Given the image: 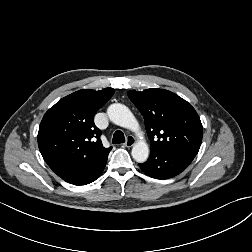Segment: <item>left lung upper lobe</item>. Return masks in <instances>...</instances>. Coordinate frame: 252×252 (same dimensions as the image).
Segmentation results:
<instances>
[{
    "mask_svg": "<svg viewBox=\"0 0 252 252\" xmlns=\"http://www.w3.org/2000/svg\"><path fill=\"white\" fill-rule=\"evenodd\" d=\"M145 120L150 154L180 152L196 156L203 127L195 109L184 99L164 89L128 91Z\"/></svg>",
    "mask_w": 252,
    "mask_h": 252,
    "instance_id": "5c2ea615",
    "label": "left lung upper lobe"
}]
</instances>
